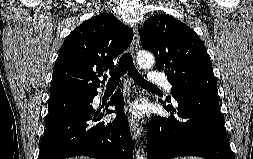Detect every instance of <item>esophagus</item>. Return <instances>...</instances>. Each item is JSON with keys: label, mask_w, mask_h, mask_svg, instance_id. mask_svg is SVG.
<instances>
[{"label": "esophagus", "mask_w": 253, "mask_h": 159, "mask_svg": "<svg viewBox=\"0 0 253 159\" xmlns=\"http://www.w3.org/2000/svg\"><path fill=\"white\" fill-rule=\"evenodd\" d=\"M139 48V36H138V28H134V36L131 44V51L133 54H136ZM129 125L131 129V133L133 138H138L142 133V127L140 126L139 121L135 118V116L130 115L129 117Z\"/></svg>", "instance_id": "obj_1"}]
</instances>
